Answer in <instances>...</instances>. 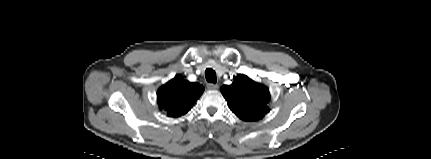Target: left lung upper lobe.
I'll return each instance as SVG.
<instances>
[{"label":"left lung upper lobe","mask_w":431,"mask_h":159,"mask_svg":"<svg viewBox=\"0 0 431 159\" xmlns=\"http://www.w3.org/2000/svg\"><path fill=\"white\" fill-rule=\"evenodd\" d=\"M221 92L230 109L245 121H256L269 112L268 88L245 75L238 76L231 86L221 87Z\"/></svg>","instance_id":"left-lung-upper-lobe-1"}]
</instances>
